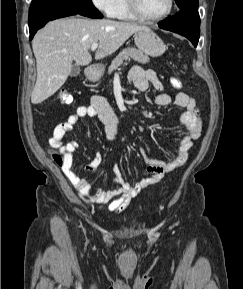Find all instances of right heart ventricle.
Wrapping results in <instances>:
<instances>
[{
	"label": "right heart ventricle",
	"mask_w": 243,
	"mask_h": 289,
	"mask_svg": "<svg viewBox=\"0 0 243 289\" xmlns=\"http://www.w3.org/2000/svg\"><path fill=\"white\" fill-rule=\"evenodd\" d=\"M110 16L124 21H133L137 19L129 10L127 0H118Z\"/></svg>",
	"instance_id": "1"
}]
</instances>
